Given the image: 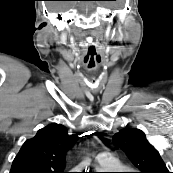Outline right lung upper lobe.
Instances as JSON below:
<instances>
[{"instance_id":"1","label":"right lung upper lobe","mask_w":173,"mask_h":173,"mask_svg":"<svg viewBox=\"0 0 173 173\" xmlns=\"http://www.w3.org/2000/svg\"><path fill=\"white\" fill-rule=\"evenodd\" d=\"M78 134L68 135L66 127L51 124L27 140L15 157L10 173H64L65 154Z\"/></svg>"}]
</instances>
